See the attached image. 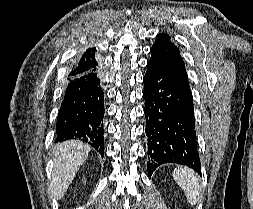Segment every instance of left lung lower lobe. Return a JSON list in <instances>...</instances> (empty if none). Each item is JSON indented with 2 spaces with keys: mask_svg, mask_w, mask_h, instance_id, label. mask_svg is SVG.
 Instances as JSON below:
<instances>
[{
  "mask_svg": "<svg viewBox=\"0 0 253 209\" xmlns=\"http://www.w3.org/2000/svg\"><path fill=\"white\" fill-rule=\"evenodd\" d=\"M149 177L164 163L186 165L201 174L193 99L179 77L151 61L143 78Z\"/></svg>",
  "mask_w": 253,
  "mask_h": 209,
  "instance_id": "1",
  "label": "left lung lower lobe"
}]
</instances>
